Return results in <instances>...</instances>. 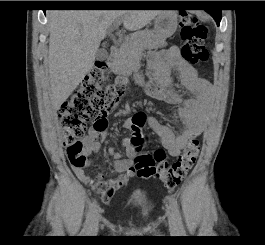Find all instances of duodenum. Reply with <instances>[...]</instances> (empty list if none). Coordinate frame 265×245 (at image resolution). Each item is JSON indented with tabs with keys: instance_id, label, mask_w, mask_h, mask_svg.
<instances>
[{
	"instance_id": "1",
	"label": "duodenum",
	"mask_w": 265,
	"mask_h": 245,
	"mask_svg": "<svg viewBox=\"0 0 265 245\" xmlns=\"http://www.w3.org/2000/svg\"><path fill=\"white\" fill-rule=\"evenodd\" d=\"M117 55H118V48L117 46L113 45L108 55V62L111 63L112 61L116 60Z\"/></svg>"
}]
</instances>
